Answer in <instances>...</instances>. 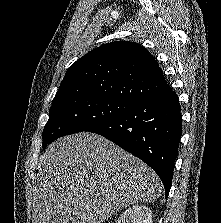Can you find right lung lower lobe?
Returning a JSON list of instances; mask_svg holds the SVG:
<instances>
[{
    "instance_id": "obj_1",
    "label": "right lung lower lobe",
    "mask_w": 221,
    "mask_h": 223,
    "mask_svg": "<svg viewBox=\"0 0 221 223\" xmlns=\"http://www.w3.org/2000/svg\"><path fill=\"white\" fill-rule=\"evenodd\" d=\"M86 131L102 135L152 167L167 197L182 134L181 107L175 92L170 89L136 102Z\"/></svg>"
}]
</instances>
